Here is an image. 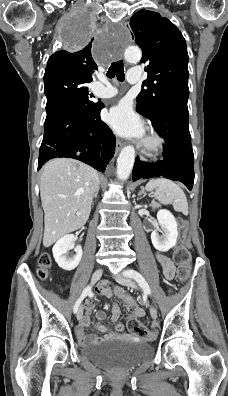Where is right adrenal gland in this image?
Returning <instances> with one entry per match:
<instances>
[{"mask_svg": "<svg viewBox=\"0 0 228 396\" xmlns=\"http://www.w3.org/2000/svg\"><path fill=\"white\" fill-rule=\"evenodd\" d=\"M98 192H99V188H98V190L95 192V194H94L93 198H96V197H97V195H98ZM92 205H93V199H92Z\"/></svg>", "mask_w": 228, "mask_h": 396, "instance_id": "2a0ac1e0", "label": "right adrenal gland"}]
</instances>
